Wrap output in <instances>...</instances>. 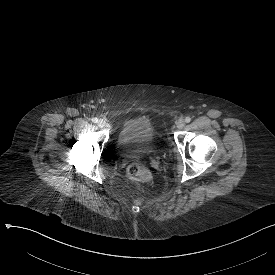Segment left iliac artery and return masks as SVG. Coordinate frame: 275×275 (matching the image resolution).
Returning <instances> with one entry per match:
<instances>
[{
  "instance_id": "1",
  "label": "left iliac artery",
  "mask_w": 275,
  "mask_h": 275,
  "mask_svg": "<svg viewBox=\"0 0 275 275\" xmlns=\"http://www.w3.org/2000/svg\"><path fill=\"white\" fill-rule=\"evenodd\" d=\"M185 121H186L187 123H189V122L191 121V118H190V117H186V118H185Z\"/></svg>"
}]
</instances>
